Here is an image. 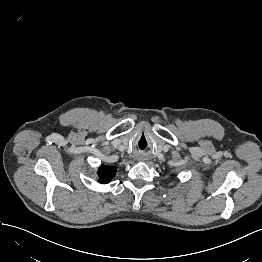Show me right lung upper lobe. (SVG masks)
<instances>
[{
    "mask_svg": "<svg viewBox=\"0 0 262 262\" xmlns=\"http://www.w3.org/2000/svg\"><path fill=\"white\" fill-rule=\"evenodd\" d=\"M116 169L114 167L101 166L99 168V182L106 184L114 177Z\"/></svg>",
    "mask_w": 262,
    "mask_h": 262,
    "instance_id": "obj_1",
    "label": "right lung upper lobe"
}]
</instances>
